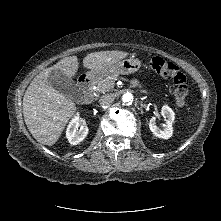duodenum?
I'll use <instances>...</instances> for the list:
<instances>
[{"label": "duodenum", "mask_w": 221, "mask_h": 221, "mask_svg": "<svg viewBox=\"0 0 221 221\" xmlns=\"http://www.w3.org/2000/svg\"><path fill=\"white\" fill-rule=\"evenodd\" d=\"M78 86L83 94V100L86 103L91 102L92 100V78L87 75V74H83L79 77L78 80Z\"/></svg>", "instance_id": "duodenum-1"}]
</instances>
